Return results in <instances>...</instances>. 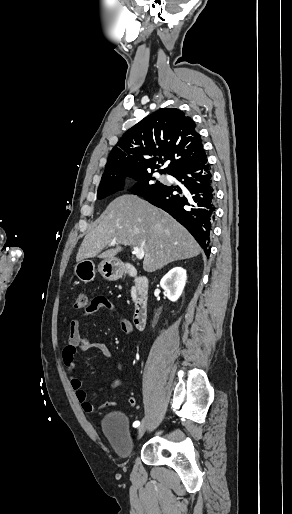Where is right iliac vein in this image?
Segmentation results:
<instances>
[{
    "label": "right iliac vein",
    "mask_w": 292,
    "mask_h": 514,
    "mask_svg": "<svg viewBox=\"0 0 292 514\" xmlns=\"http://www.w3.org/2000/svg\"><path fill=\"white\" fill-rule=\"evenodd\" d=\"M148 424H149V419H148V417L146 416V417L143 419V421H142L141 425H140V426H139V428H138V438H140V437L144 434V432L146 431V429H147V427H148Z\"/></svg>",
    "instance_id": "1"
}]
</instances>
